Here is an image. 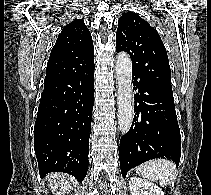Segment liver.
<instances>
[{"mask_svg": "<svg viewBox=\"0 0 211 195\" xmlns=\"http://www.w3.org/2000/svg\"><path fill=\"white\" fill-rule=\"evenodd\" d=\"M73 178L64 173H50L48 186L54 195H65L72 189Z\"/></svg>", "mask_w": 211, "mask_h": 195, "instance_id": "obj_1", "label": "liver"}]
</instances>
